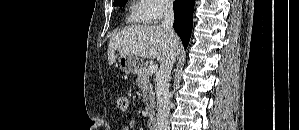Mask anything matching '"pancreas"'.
<instances>
[{
  "label": "pancreas",
  "instance_id": "1",
  "mask_svg": "<svg viewBox=\"0 0 299 130\" xmlns=\"http://www.w3.org/2000/svg\"><path fill=\"white\" fill-rule=\"evenodd\" d=\"M147 68H140L137 72L136 82L141 89L144 103L146 104L145 111L148 116H152L155 113V97L153 92V86L150 83L149 75L146 73Z\"/></svg>",
  "mask_w": 299,
  "mask_h": 130
}]
</instances>
